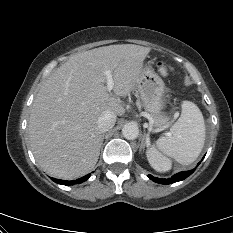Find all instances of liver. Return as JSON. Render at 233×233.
<instances>
[{"mask_svg":"<svg viewBox=\"0 0 233 233\" xmlns=\"http://www.w3.org/2000/svg\"><path fill=\"white\" fill-rule=\"evenodd\" d=\"M150 50L121 44L85 51L71 56L44 82L28 129L34 157L45 172L71 180L95 167L102 145L98 118L105 111L125 113L105 86V71L112 70L114 94L126 97L137 87Z\"/></svg>","mask_w":233,"mask_h":233,"instance_id":"obj_1","label":"liver"}]
</instances>
